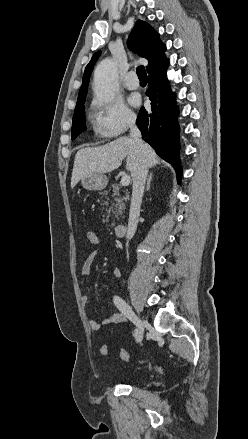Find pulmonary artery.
<instances>
[{
    "label": "pulmonary artery",
    "instance_id": "pulmonary-artery-1",
    "mask_svg": "<svg viewBox=\"0 0 248 439\" xmlns=\"http://www.w3.org/2000/svg\"><path fill=\"white\" fill-rule=\"evenodd\" d=\"M124 86L129 90H135L139 87V80L135 72L131 71L125 76Z\"/></svg>",
    "mask_w": 248,
    "mask_h": 439
}]
</instances>
